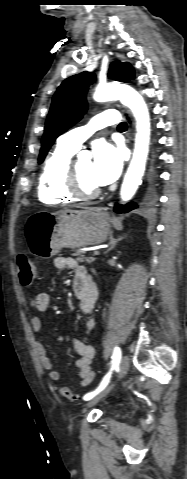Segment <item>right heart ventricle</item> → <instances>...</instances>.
Instances as JSON below:
<instances>
[{"instance_id":"right-heart-ventricle-1","label":"right heart ventricle","mask_w":187,"mask_h":479,"mask_svg":"<svg viewBox=\"0 0 187 479\" xmlns=\"http://www.w3.org/2000/svg\"><path fill=\"white\" fill-rule=\"evenodd\" d=\"M75 153L76 150L57 141L46 158L38 179L37 194L42 203L56 205L74 201L75 197L65 188V173Z\"/></svg>"}]
</instances>
